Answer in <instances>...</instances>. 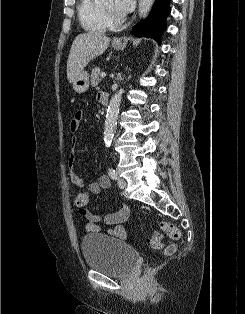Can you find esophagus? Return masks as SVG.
I'll list each match as a JSON object with an SVG mask.
<instances>
[{"label": "esophagus", "instance_id": "1", "mask_svg": "<svg viewBox=\"0 0 245 314\" xmlns=\"http://www.w3.org/2000/svg\"><path fill=\"white\" fill-rule=\"evenodd\" d=\"M121 41L119 39H115L114 43H120Z\"/></svg>", "mask_w": 245, "mask_h": 314}]
</instances>
